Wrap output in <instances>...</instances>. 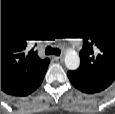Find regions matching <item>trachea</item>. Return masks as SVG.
<instances>
[{"label": "trachea", "instance_id": "3493384b", "mask_svg": "<svg viewBox=\"0 0 115 114\" xmlns=\"http://www.w3.org/2000/svg\"><path fill=\"white\" fill-rule=\"evenodd\" d=\"M45 53L47 55H56V56H59L61 51L59 49H55V48H52L50 46H48L46 49H45Z\"/></svg>", "mask_w": 115, "mask_h": 114}]
</instances>
